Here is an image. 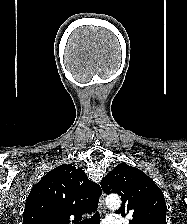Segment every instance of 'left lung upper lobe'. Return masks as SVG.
Segmentation results:
<instances>
[{"label": "left lung upper lobe", "instance_id": "obj_1", "mask_svg": "<svg viewBox=\"0 0 187 224\" xmlns=\"http://www.w3.org/2000/svg\"><path fill=\"white\" fill-rule=\"evenodd\" d=\"M101 187L106 194L121 196L123 204L116 213L132 215L129 224H167L164 195L141 170L119 164L102 179Z\"/></svg>", "mask_w": 187, "mask_h": 224}]
</instances>
